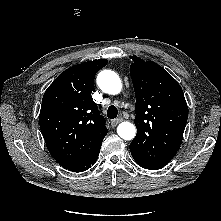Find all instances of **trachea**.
<instances>
[{
	"mask_svg": "<svg viewBox=\"0 0 221 221\" xmlns=\"http://www.w3.org/2000/svg\"><path fill=\"white\" fill-rule=\"evenodd\" d=\"M117 115H118V110H117L116 106H114V105L109 106L107 109L108 118L114 119L117 117Z\"/></svg>",
	"mask_w": 221,
	"mask_h": 221,
	"instance_id": "1",
	"label": "trachea"
}]
</instances>
